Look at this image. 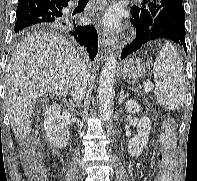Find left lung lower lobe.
<instances>
[{
  "label": "left lung lower lobe",
  "mask_w": 197,
  "mask_h": 181,
  "mask_svg": "<svg viewBox=\"0 0 197 181\" xmlns=\"http://www.w3.org/2000/svg\"><path fill=\"white\" fill-rule=\"evenodd\" d=\"M136 28L137 36L133 42L123 48L121 58L136 52L144 44L155 39H169L182 46L187 53L185 43V11L182 4L177 3L163 8L149 24L131 20Z\"/></svg>",
  "instance_id": "left-lung-lower-lobe-1"
}]
</instances>
